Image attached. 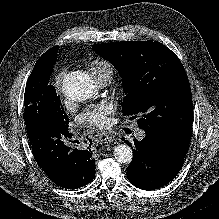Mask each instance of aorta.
Segmentation results:
<instances>
[{
  "label": "aorta",
  "mask_w": 219,
  "mask_h": 219,
  "mask_svg": "<svg viewBox=\"0 0 219 219\" xmlns=\"http://www.w3.org/2000/svg\"><path fill=\"white\" fill-rule=\"evenodd\" d=\"M63 92L73 101H85L96 93V86L92 78L83 72L68 74L63 81ZM113 156L119 163H130L133 158L132 149L127 144H117Z\"/></svg>",
  "instance_id": "aorta-1"
}]
</instances>
